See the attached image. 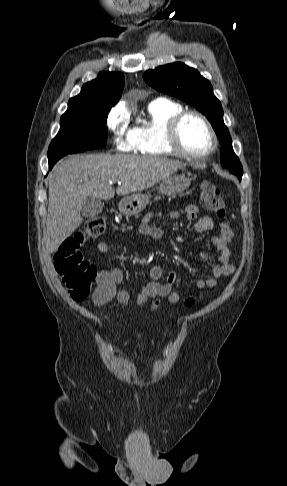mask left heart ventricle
I'll list each match as a JSON object with an SVG mask.
<instances>
[{"label":"left heart ventricle","instance_id":"b2bd125f","mask_svg":"<svg viewBox=\"0 0 287 486\" xmlns=\"http://www.w3.org/2000/svg\"><path fill=\"white\" fill-rule=\"evenodd\" d=\"M181 144L191 152H204L211 146V137L205 125L197 117L186 118L179 132Z\"/></svg>","mask_w":287,"mask_h":486}]
</instances>
